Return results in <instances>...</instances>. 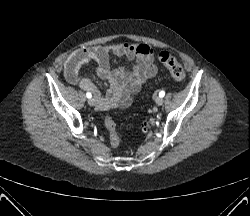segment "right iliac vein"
<instances>
[{
	"instance_id": "1",
	"label": "right iliac vein",
	"mask_w": 250,
	"mask_h": 216,
	"mask_svg": "<svg viewBox=\"0 0 250 216\" xmlns=\"http://www.w3.org/2000/svg\"><path fill=\"white\" fill-rule=\"evenodd\" d=\"M88 104H89L90 106H95V105H96V100H95L94 98H90V99L88 100Z\"/></svg>"
}]
</instances>
